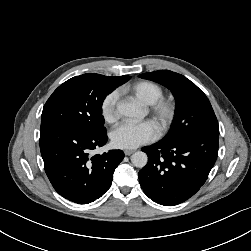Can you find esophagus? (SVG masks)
Wrapping results in <instances>:
<instances>
[{
	"instance_id": "obj_1",
	"label": "esophagus",
	"mask_w": 251,
	"mask_h": 251,
	"mask_svg": "<svg viewBox=\"0 0 251 251\" xmlns=\"http://www.w3.org/2000/svg\"><path fill=\"white\" fill-rule=\"evenodd\" d=\"M125 155H131L134 153V150H124Z\"/></svg>"
}]
</instances>
